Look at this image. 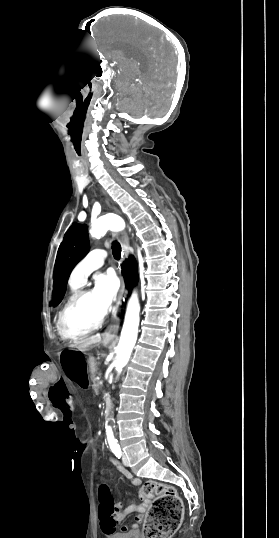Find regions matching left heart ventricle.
Wrapping results in <instances>:
<instances>
[{
  "mask_svg": "<svg viewBox=\"0 0 279 538\" xmlns=\"http://www.w3.org/2000/svg\"><path fill=\"white\" fill-rule=\"evenodd\" d=\"M103 314V307L99 299L94 292H91L69 312L67 327L71 332H82L92 327Z\"/></svg>",
  "mask_w": 279,
  "mask_h": 538,
  "instance_id": "1",
  "label": "left heart ventricle"
}]
</instances>
